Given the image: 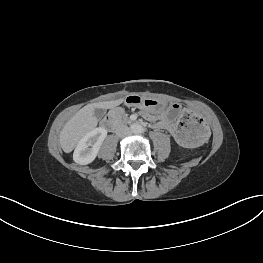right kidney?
<instances>
[{
	"label": "right kidney",
	"mask_w": 263,
	"mask_h": 263,
	"mask_svg": "<svg viewBox=\"0 0 263 263\" xmlns=\"http://www.w3.org/2000/svg\"><path fill=\"white\" fill-rule=\"evenodd\" d=\"M106 136L107 130L102 127L88 132L78 142L73 153V160L80 165H87L93 162Z\"/></svg>",
	"instance_id": "ca27d5eb"
}]
</instances>
